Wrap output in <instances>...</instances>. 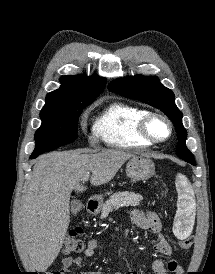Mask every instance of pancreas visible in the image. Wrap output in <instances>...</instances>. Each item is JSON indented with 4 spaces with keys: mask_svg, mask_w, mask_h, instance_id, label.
Masks as SVG:
<instances>
[{
    "mask_svg": "<svg viewBox=\"0 0 215 274\" xmlns=\"http://www.w3.org/2000/svg\"><path fill=\"white\" fill-rule=\"evenodd\" d=\"M143 197L133 192H118L110 196L103 205L101 217L106 218L110 212L120 207L138 206Z\"/></svg>",
    "mask_w": 215,
    "mask_h": 274,
    "instance_id": "1",
    "label": "pancreas"
}]
</instances>
